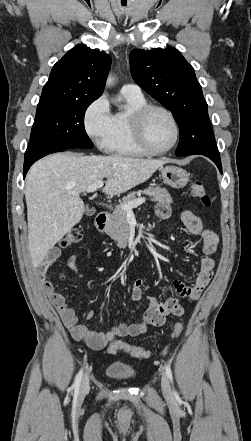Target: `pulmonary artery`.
Returning <instances> with one entry per match:
<instances>
[{
  "instance_id": "obj_1",
  "label": "pulmonary artery",
  "mask_w": 251,
  "mask_h": 441,
  "mask_svg": "<svg viewBox=\"0 0 251 441\" xmlns=\"http://www.w3.org/2000/svg\"><path fill=\"white\" fill-rule=\"evenodd\" d=\"M121 92L132 93V94H142L141 88L134 83H126L122 86Z\"/></svg>"
}]
</instances>
